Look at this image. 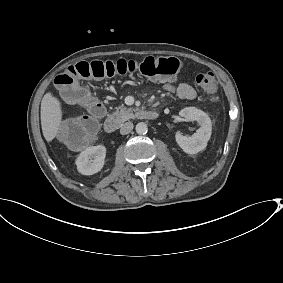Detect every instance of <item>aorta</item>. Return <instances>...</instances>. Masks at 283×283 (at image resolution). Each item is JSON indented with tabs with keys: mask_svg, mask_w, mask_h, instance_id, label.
I'll list each match as a JSON object with an SVG mask.
<instances>
[{
	"mask_svg": "<svg viewBox=\"0 0 283 283\" xmlns=\"http://www.w3.org/2000/svg\"><path fill=\"white\" fill-rule=\"evenodd\" d=\"M147 130H148V128H147V125H146V123H144V122H139L137 125H136V132L138 133V134H146L147 133Z\"/></svg>",
	"mask_w": 283,
	"mask_h": 283,
	"instance_id": "762f6f07",
	"label": "aorta"
}]
</instances>
